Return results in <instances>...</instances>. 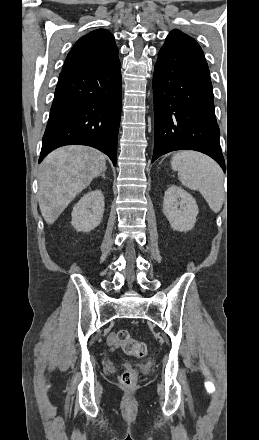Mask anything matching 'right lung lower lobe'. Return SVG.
Wrapping results in <instances>:
<instances>
[{
    "label": "right lung lower lobe",
    "mask_w": 259,
    "mask_h": 440,
    "mask_svg": "<svg viewBox=\"0 0 259 440\" xmlns=\"http://www.w3.org/2000/svg\"><path fill=\"white\" fill-rule=\"evenodd\" d=\"M121 104L118 57L94 68L60 73L39 163L58 147L87 145L104 152L115 166Z\"/></svg>",
    "instance_id": "1"
}]
</instances>
